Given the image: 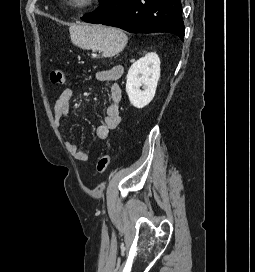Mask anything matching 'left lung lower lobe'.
Here are the masks:
<instances>
[{"instance_id":"0a47b994","label":"left lung lower lobe","mask_w":255,"mask_h":272,"mask_svg":"<svg viewBox=\"0 0 255 272\" xmlns=\"http://www.w3.org/2000/svg\"><path fill=\"white\" fill-rule=\"evenodd\" d=\"M81 19L131 33L168 32L182 41L185 31L180 0H102L99 8Z\"/></svg>"}]
</instances>
